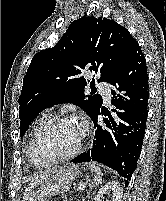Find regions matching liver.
<instances>
[{
	"mask_svg": "<svg viewBox=\"0 0 166 201\" xmlns=\"http://www.w3.org/2000/svg\"><path fill=\"white\" fill-rule=\"evenodd\" d=\"M56 170H49L47 172H43L40 174H35L34 178L30 181L28 187L25 190L24 194V201H30L33 196V190L41 185L49 176H51L53 173H55Z\"/></svg>",
	"mask_w": 166,
	"mask_h": 201,
	"instance_id": "liver-1",
	"label": "liver"
}]
</instances>
